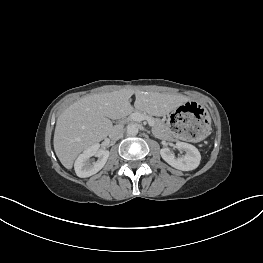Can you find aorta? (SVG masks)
<instances>
[{
	"label": "aorta",
	"mask_w": 263,
	"mask_h": 263,
	"mask_svg": "<svg viewBox=\"0 0 263 263\" xmlns=\"http://www.w3.org/2000/svg\"><path fill=\"white\" fill-rule=\"evenodd\" d=\"M126 132L130 136H135L139 132V128L136 124H128L126 127Z\"/></svg>",
	"instance_id": "aorta-1"
}]
</instances>
